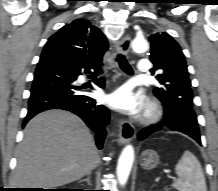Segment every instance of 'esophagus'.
<instances>
[{
    "instance_id": "34e87169",
    "label": "esophagus",
    "mask_w": 218,
    "mask_h": 191,
    "mask_svg": "<svg viewBox=\"0 0 218 191\" xmlns=\"http://www.w3.org/2000/svg\"><path fill=\"white\" fill-rule=\"evenodd\" d=\"M131 39L128 36L123 37L117 42V50L123 55H127L130 51ZM135 136L134 126L127 120H121L119 124V144L130 142Z\"/></svg>"
}]
</instances>
